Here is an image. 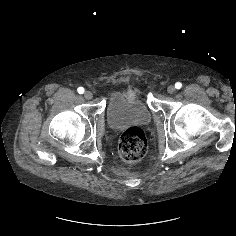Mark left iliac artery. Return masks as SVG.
Instances as JSON below:
<instances>
[{
    "instance_id": "44dca946",
    "label": "left iliac artery",
    "mask_w": 236,
    "mask_h": 236,
    "mask_svg": "<svg viewBox=\"0 0 236 236\" xmlns=\"http://www.w3.org/2000/svg\"><path fill=\"white\" fill-rule=\"evenodd\" d=\"M181 87H182V83L177 82V83L175 84V88H176V89H180Z\"/></svg>"
}]
</instances>
